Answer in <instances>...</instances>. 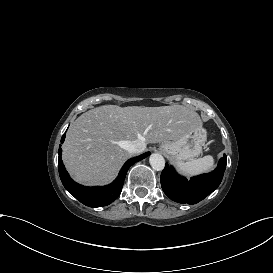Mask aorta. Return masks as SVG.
Listing matches in <instances>:
<instances>
[{"instance_id":"1","label":"aorta","mask_w":273,"mask_h":273,"mask_svg":"<svg viewBox=\"0 0 273 273\" xmlns=\"http://www.w3.org/2000/svg\"><path fill=\"white\" fill-rule=\"evenodd\" d=\"M149 162L151 167L156 171H162L165 167V159L159 153H153L150 155Z\"/></svg>"}]
</instances>
